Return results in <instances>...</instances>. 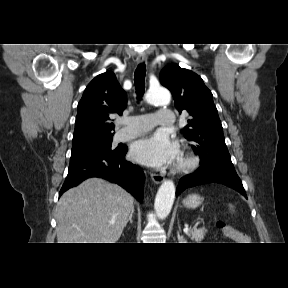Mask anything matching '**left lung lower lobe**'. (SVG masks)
<instances>
[{
  "mask_svg": "<svg viewBox=\"0 0 288 288\" xmlns=\"http://www.w3.org/2000/svg\"><path fill=\"white\" fill-rule=\"evenodd\" d=\"M206 183H219L235 189L246 196L242 182L236 171H231L218 166L201 167L192 174L182 177L179 181L176 196L185 189Z\"/></svg>",
  "mask_w": 288,
  "mask_h": 288,
  "instance_id": "1",
  "label": "left lung lower lobe"
}]
</instances>
